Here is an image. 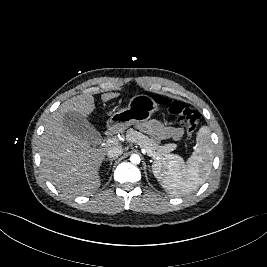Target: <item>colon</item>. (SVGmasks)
Instances as JSON below:
<instances>
[{
	"label": "colon",
	"mask_w": 267,
	"mask_h": 267,
	"mask_svg": "<svg viewBox=\"0 0 267 267\" xmlns=\"http://www.w3.org/2000/svg\"><path fill=\"white\" fill-rule=\"evenodd\" d=\"M157 101L161 104H165L173 117L185 126L187 136L191 138L199 123V113L179 100H168L165 102L163 99L157 98Z\"/></svg>",
	"instance_id": "5ec220e1"
}]
</instances>
